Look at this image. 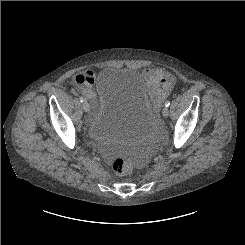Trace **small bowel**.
<instances>
[{
  "label": "small bowel",
  "instance_id": "c3829d8e",
  "mask_svg": "<svg viewBox=\"0 0 245 245\" xmlns=\"http://www.w3.org/2000/svg\"><path fill=\"white\" fill-rule=\"evenodd\" d=\"M87 78L85 82H81L80 78ZM142 77L146 82L150 94L157 100L164 99L176 84V78L162 70L145 68L142 71ZM94 73L92 71L78 73L74 77V86L82 92L87 98L93 99L95 93L92 89Z\"/></svg>",
  "mask_w": 245,
  "mask_h": 245
}]
</instances>
